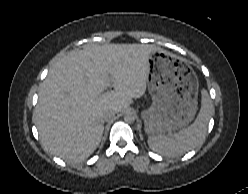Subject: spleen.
Returning <instances> with one entry per match:
<instances>
[{
  "instance_id": "obj_1",
  "label": "spleen",
  "mask_w": 248,
  "mask_h": 194,
  "mask_svg": "<svg viewBox=\"0 0 248 194\" xmlns=\"http://www.w3.org/2000/svg\"><path fill=\"white\" fill-rule=\"evenodd\" d=\"M201 94V108L194 123L173 136H149L150 149L165 156L174 157L188 152L203 142L213 112V104L205 89Z\"/></svg>"
}]
</instances>
